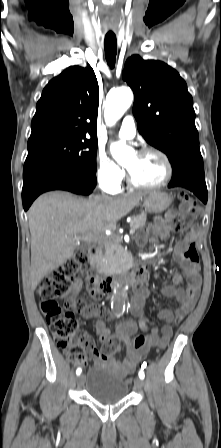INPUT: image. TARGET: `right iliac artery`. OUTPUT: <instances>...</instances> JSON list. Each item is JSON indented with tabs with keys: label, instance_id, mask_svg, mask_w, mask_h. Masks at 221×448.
Here are the masks:
<instances>
[{
	"label": "right iliac artery",
	"instance_id": "1",
	"mask_svg": "<svg viewBox=\"0 0 221 448\" xmlns=\"http://www.w3.org/2000/svg\"><path fill=\"white\" fill-rule=\"evenodd\" d=\"M81 372H82L81 368H78V369L76 370V374H77V375H80Z\"/></svg>",
	"mask_w": 221,
	"mask_h": 448
}]
</instances>
